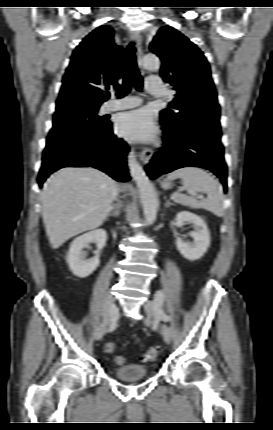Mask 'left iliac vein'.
<instances>
[{
	"label": "left iliac vein",
	"mask_w": 273,
	"mask_h": 430,
	"mask_svg": "<svg viewBox=\"0 0 273 430\" xmlns=\"http://www.w3.org/2000/svg\"><path fill=\"white\" fill-rule=\"evenodd\" d=\"M144 309L148 317L152 318L153 323L155 325H159L160 317L155 302L152 300H147L144 304ZM161 334L164 341L169 344L171 342L172 335L170 333V329L166 325H161Z\"/></svg>",
	"instance_id": "obj_1"
}]
</instances>
